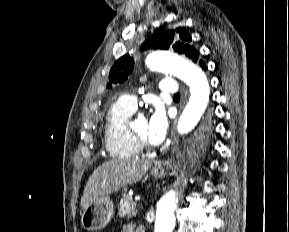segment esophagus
<instances>
[{"label":"esophagus","instance_id":"esophagus-1","mask_svg":"<svg viewBox=\"0 0 289 232\" xmlns=\"http://www.w3.org/2000/svg\"><path fill=\"white\" fill-rule=\"evenodd\" d=\"M176 121L174 122L173 128H172V136H173V140L171 143V147L174 148L177 144H178V137L176 135Z\"/></svg>","mask_w":289,"mask_h":232}]
</instances>
